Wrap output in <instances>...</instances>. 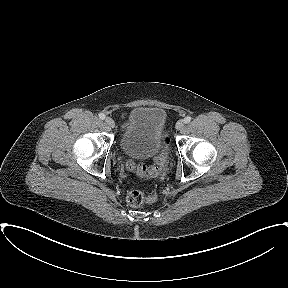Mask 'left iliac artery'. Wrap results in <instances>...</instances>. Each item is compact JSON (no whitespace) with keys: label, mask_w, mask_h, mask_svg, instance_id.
<instances>
[{"label":"left iliac artery","mask_w":288,"mask_h":288,"mask_svg":"<svg viewBox=\"0 0 288 288\" xmlns=\"http://www.w3.org/2000/svg\"><path fill=\"white\" fill-rule=\"evenodd\" d=\"M185 123H189L191 121V117L187 116L184 118Z\"/></svg>","instance_id":"left-iliac-artery-1"}]
</instances>
